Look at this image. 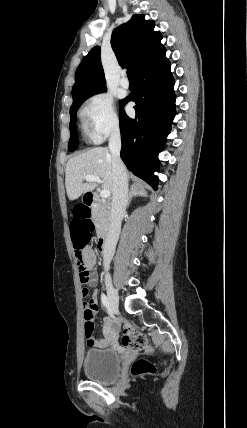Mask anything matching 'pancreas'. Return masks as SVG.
Here are the masks:
<instances>
[{
	"label": "pancreas",
	"mask_w": 247,
	"mask_h": 428,
	"mask_svg": "<svg viewBox=\"0 0 247 428\" xmlns=\"http://www.w3.org/2000/svg\"><path fill=\"white\" fill-rule=\"evenodd\" d=\"M92 217L99 232L108 229L110 222V213L105 205L97 204L96 206H94Z\"/></svg>",
	"instance_id": "1"
}]
</instances>
